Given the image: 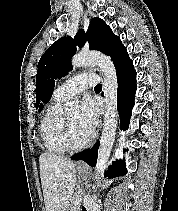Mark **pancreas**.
I'll use <instances>...</instances> for the list:
<instances>
[{"label": "pancreas", "mask_w": 178, "mask_h": 211, "mask_svg": "<svg viewBox=\"0 0 178 211\" xmlns=\"http://www.w3.org/2000/svg\"><path fill=\"white\" fill-rule=\"evenodd\" d=\"M81 198L80 193H75L73 197L70 199L69 209L68 211H78L79 205H75L77 199Z\"/></svg>", "instance_id": "obj_1"}]
</instances>
